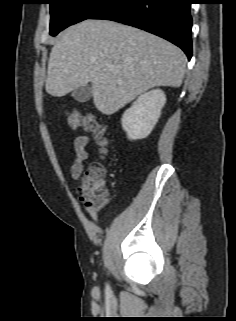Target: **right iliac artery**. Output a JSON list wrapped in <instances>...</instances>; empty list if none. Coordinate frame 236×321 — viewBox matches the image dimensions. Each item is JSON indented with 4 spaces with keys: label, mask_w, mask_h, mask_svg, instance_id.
I'll return each instance as SVG.
<instances>
[{
    "label": "right iliac artery",
    "mask_w": 236,
    "mask_h": 321,
    "mask_svg": "<svg viewBox=\"0 0 236 321\" xmlns=\"http://www.w3.org/2000/svg\"><path fill=\"white\" fill-rule=\"evenodd\" d=\"M106 289L109 290V286L108 285L106 286Z\"/></svg>",
    "instance_id": "82829eb1"
}]
</instances>
